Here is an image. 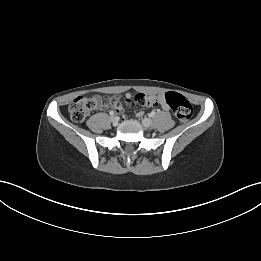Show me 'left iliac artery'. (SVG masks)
Instances as JSON below:
<instances>
[{
  "mask_svg": "<svg viewBox=\"0 0 261 261\" xmlns=\"http://www.w3.org/2000/svg\"><path fill=\"white\" fill-rule=\"evenodd\" d=\"M155 111H152L149 115H150V117H153V116H155Z\"/></svg>",
  "mask_w": 261,
  "mask_h": 261,
  "instance_id": "left-iliac-artery-1",
  "label": "left iliac artery"
}]
</instances>
